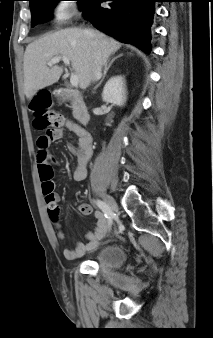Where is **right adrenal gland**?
Segmentation results:
<instances>
[{
	"label": "right adrenal gland",
	"instance_id": "1",
	"mask_svg": "<svg viewBox=\"0 0 213 338\" xmlns=\"http://www.w3.org/2000/svg\"><path fill=\"white\" fill-rule=\"evenodd\" d=\"M123 54H120L116 57H114L108 64L106 63L104 66V72H103V76L101 77L100 81L98 82V84L94 87V91L101 85V83L103 82L104 78L106 77V74L109 70V68L111 67V65L113 64V62L118 59L119 57H121Z\"/></svg>",
	"mask_w": 213,
	"mask_h": 338
}]
</instances>
